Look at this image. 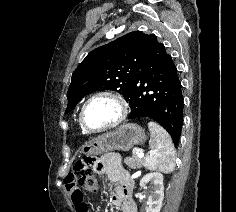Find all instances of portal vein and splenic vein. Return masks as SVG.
<instances>
[{
	"label": "portal vein and splenic vein",
	"instance_id": "portal-vein-and-splenic-vein-1",
	"mask_svg": "<svg viewBox=\"0 0 236 212\" xmlns=\"http://www.w3.org/2000/svg\"><path fill=\"white\" fill-rule=\"evenodd\" d=\"M133 154H136V155H138L139 157H143V156H144V152H143V150H141V149H134V150H133Z\"/></svg>",
	"mask_w": 236,
	"mask_h": 212
}]
</instances>
